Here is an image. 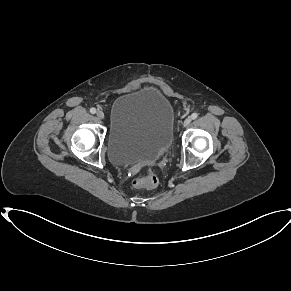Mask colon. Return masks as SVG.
<instances>
[{
  "instance_id": "obj_1",
  "label": "colon",
  "mask_w": 291,
  "mask_h": 291,
  "mask_svg": "<svg viewBox=\"0 0 291 291\" xmlns=\"http://www.w3.org/2000/svg\"><path fill=\"white\" fill-rule=\"evenodd\" d=\"M158 184V178L153 172H148L144 177L134 179L132 185L135 188H153Z\"/></svg>"
}]
</instances>
